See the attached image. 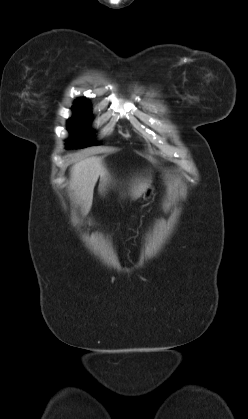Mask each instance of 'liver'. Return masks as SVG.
I'll return each mask as SVG.
<instances>
[{"mask_svg": "<svg viewBox=\"0 0 248 419\" xmlns=\"http://www.w3.org/2000/svg\"><path fill=\"white\" fill-rule=\"evenodd\" d=\"M99 177V188L102 191L109 181V173L103 164V157H86L71 167L70 189L74 191V195L82 204L85 213H88L92 206L94 187ZM148 187L147 180L136 182L132 189L133 197L141 196Z\"/></svg>", "mask_w": 248, "mask_h": 419, "instance_id": "liver-1", "label": "liver"}]
</instances>
